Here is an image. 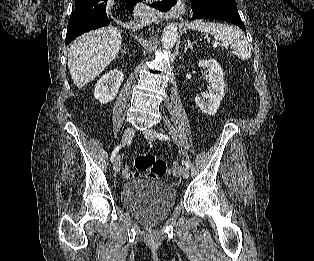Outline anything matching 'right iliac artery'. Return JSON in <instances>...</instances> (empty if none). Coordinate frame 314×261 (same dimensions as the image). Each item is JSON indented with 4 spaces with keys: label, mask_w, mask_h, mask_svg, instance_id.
I'll return each mask as SVG.
<instances>
[{
    "label": "right iliac artery",
    "mask_w": 314,
    "mask_h": 261,
    "mask_svg": "<svg viewBox=\"0 0 314 261\" xmlns=\"http://www.w3.org/2000/svg\"><path fill=\"white\" fill-rule=\"evenodd\" d=\"M122 147V145H118L117 147H115V149L113 150L112 154H111V162L114 161V158L116 156V154L118 153L119 149Z\"/></svg>",
    "instance_id": "82829eb1"
}]
</instances>
